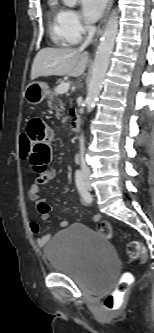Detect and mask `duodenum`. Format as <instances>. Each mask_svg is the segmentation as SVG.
<instances>
[{
    "instance_id": "1",
    "label": "duodenum",
    "mask_w": 154,
    "mask_h": 333,
    "mask_svg": "<svg viewBox=\"0 0 154 333\" xmlns=\"http://www.w3.org/2000/svg\"><path fill=\"white\" fill-rule=\"evenodd\" d=\"M81 118L78 113H73L70 119V128L71 131L76 133L80 130Z\"/></svg>"
}]
</instances>
